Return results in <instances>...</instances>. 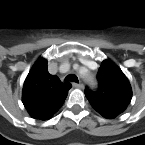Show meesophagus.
I'll use <instances>...</instances> for the list:
<instances>
[{"label":"esophagus","mask_w":145,"mask_h":145,"mask_svg":"<svg viewBox=\"0 0 145 145\" xmlns=\"http://www.w3.org/2000/svg\"><path fill=\"white\" fill-rule=\"evenodd\" d=\"M73 86L76 87V88H79V89H83L84 88V85L82 83H73Z\"/></svg>","instance_id":"obj_1"}]
</instances>
